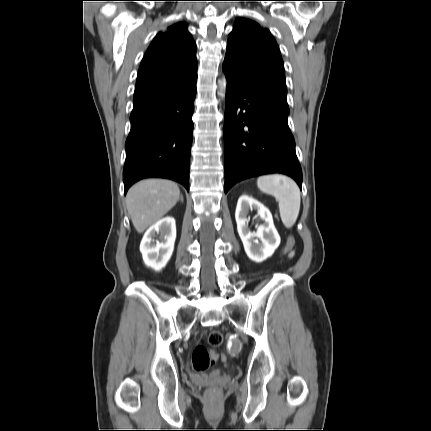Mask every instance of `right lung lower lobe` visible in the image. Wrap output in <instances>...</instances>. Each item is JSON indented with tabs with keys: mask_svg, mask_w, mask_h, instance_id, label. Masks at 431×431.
I'll return each mask as SVG.
<instances>
[{
	"mask_svg": "<svg viewBox=\"0 0 431 431\" xmlns=\"http://www.w3.org/2000/svg\"><path fill=\"white\" fill-rule=\"evenodd\" d=\"M196 80L176 95L133 110L125 143V194L143 178L160 177L189 190L190 148L193 139Z\"/></svg>",
	"mask_w": 431,
	"mask_h": 431,
	"instance_id": "1",
	"label": "right lung lower lobe"
}]
</instances>
